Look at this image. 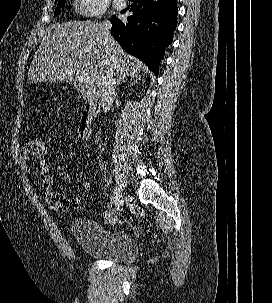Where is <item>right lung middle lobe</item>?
<instances>
[{
  "label": "right lung middle lobe",
  "instance_id": "dd1d6c3e",
  "mask_svg": "<svg viewBox=\"0 0 272 303\" xmlns=\"http://www.w3.org/2000/svg\"><path fill=\"white\" fill-rule=\"evenodd\" d=\"M65 2H66V0H59L57 8L54 12V16H57L58 14H60V12H61L60 8H63L65 6Z\"/></svg>",
  "mask_w": 272,
  "mask_h": 303
}]
</instances>
